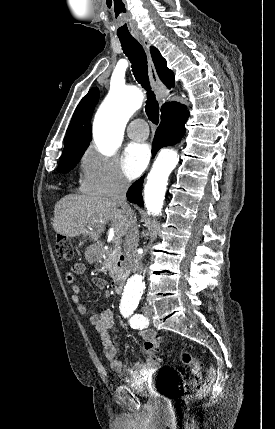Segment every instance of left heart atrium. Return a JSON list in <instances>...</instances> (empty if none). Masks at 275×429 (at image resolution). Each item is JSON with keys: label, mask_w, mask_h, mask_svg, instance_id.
<instances>
[{"label": "left heart atrium", "mask_w": 275, "mask_h": 429, "mask_svg": "<svg viewBox=\"0 0 275 429\" xmlns=\"http://www.w3.org/2000/svg\"><path fill=\"white\" fill-rule=\"evenodd\" d=\"M150 158V148L144 143H130L124 150L122 167L125 174L134 179L146 168Z\"/></svg>", "instance_id": "1"}]
</instances>
